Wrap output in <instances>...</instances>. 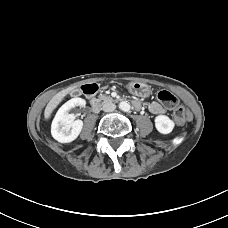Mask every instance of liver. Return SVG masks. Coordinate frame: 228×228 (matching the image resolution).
Segmentation results:
<instances>
[{
    "instance_id": "liver-1",
    "label": "liver",
    "mask_w": 228,
    "mask_h": 228,
    "mask_svg": "<svg viewBox=\"0 0 228 228\" xmlns=\"http://www.w3.org/2000/svg\"><path fill=\"white\" fill-rule=\"evenodd\" d=\"M70 91L71 90L59 92L49 101L44 112L45 120H48L50 118L52 111L57 107V105L61 102L64 96Z\"/></svg>"
}]
</instances>
